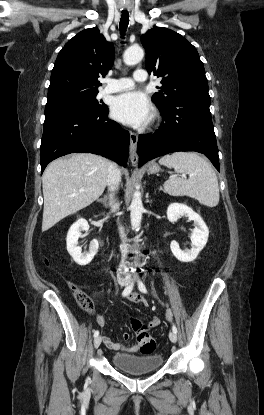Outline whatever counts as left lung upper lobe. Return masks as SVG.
Wrapping results in <instances>:
<instances>
[{
  "label": "left lung upper lobe",
  "instance_id": "5c2ea615",
  "mask_svg": "<svg viewBox=\"0 0 264 415\" xmlns=\"http://www.w3.org/2000/svg\"><path fill=\"white\" fill-rule=\"evenodd\" d=\"M146 51V69L161 77L162 86L152 96L163 110L185 98L210 99L205 70L195 47L180 34L163 27L148 30L142 36Z\"/></svg>",
  "mask_w": 264,
  "mask_h": 415
}]
</instances>
